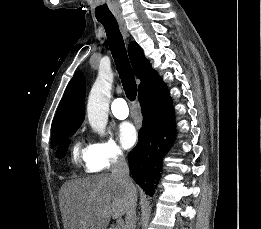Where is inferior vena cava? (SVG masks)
Returning <instances> with one entry per match:
<instances>
[{"mask_svg":"<svg viewBox=\"0 0 261 229\" xmlns=\"http://www.w3.org/2000/svg\"><path fill=\"white\" fill-rule=\"evenodd\" d=\"M111 173L112 177H116L119 179V183L126 187L128 193H131L133 189H135L130 177H129V167L125 161L124 155H119L116 159H113L111 163ZM137 199H131L129 209L126 213L125 221V229H136V203Z\"/></svg>","mask_w":261,"mask_h":229,"instance_id":"1","label":"inferior vena cava"}]
</instances>
